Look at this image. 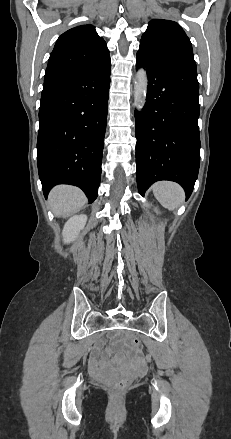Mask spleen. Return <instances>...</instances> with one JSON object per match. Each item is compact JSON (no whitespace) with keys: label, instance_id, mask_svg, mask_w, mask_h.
<instances>
[{"label":"spleen","instance_id":"3e777b00","mask_svg":"<svg viewBox=\"0 0 231 439\" xmlns=\"http://www.w3.org/2000/svg\"><path fill=\"white\" fill-rule=\"evenodd\" d=\"M152 189L160 204L171 211L176 210L185 198L183 188L175 182L159 181Z\"/></svg>","mask_w":231,"mask_h":439}]
</instances>
